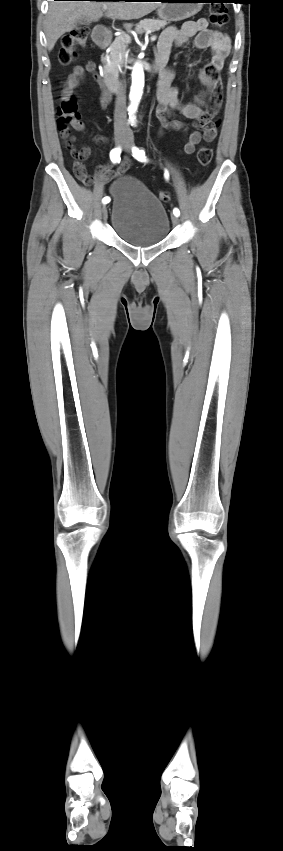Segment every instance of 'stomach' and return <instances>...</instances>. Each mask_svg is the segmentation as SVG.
<instances>
[{"label":"stomach","instance_id":"1","mask_svg":"<svg viewBox=\"0 0 283 851\" xmlns=\"http://www.w3.org/2000/svg\"><path fill=\"white\" fill-rule=\"evenodd\" d=\"M203 0H169L160 6L158 16L163 21H180L197 14L202 8ZM99 38H108L103 28H97Z\"/></svg>","mask_w":283,"mask_h":851}]
</instances>
